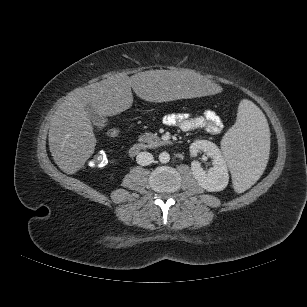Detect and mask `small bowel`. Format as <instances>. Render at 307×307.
I'll return each instance as SVG.
<instances>
[{
    "instance_id": "c3829d8e",
    "label": "small bowel",
    "mask_w": 307,
    "mask_h": 307,
    "mask_svg": "<svg viewBox=\"0 0 307 307\" xmlns=\"http://www.w3.org/2000/svg\"><path fill=\"white\" fill-rule=\"evenodd\" d=\"M162 123L182 131L205 129L210 134H219L223 130L221 117L213 110H205L202 115L193 116L187 113H170L162 118Z\"/></svg>"
}]
</instances>
